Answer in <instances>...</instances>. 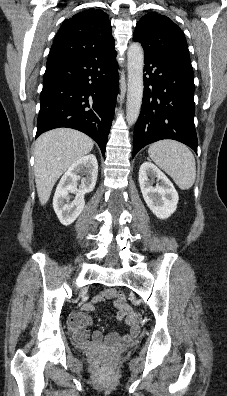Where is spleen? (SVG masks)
<instances>
[{"mask_svg": "<svg viewBox=\"0 0 227 396\" xmlns=\"http://www.w3.org/2000/svg\"><path fill=\"white\" fill-rule=\"evenodd\" d=\"M150 158L164 170L182 190L189 189L196 177V163L192 152L174 140H161L149 146Z\"/></svg>", "mask_w": 227, "mask_h": 396, "instance_id": "spleen-1", "label": "spleen"}]
</instances>
